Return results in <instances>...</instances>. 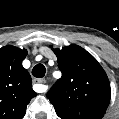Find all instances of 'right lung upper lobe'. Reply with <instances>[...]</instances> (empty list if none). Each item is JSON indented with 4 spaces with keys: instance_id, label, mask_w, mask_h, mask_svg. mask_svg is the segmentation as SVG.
<instances>
[{
    "instance_id": "1",
    "label": "right lung upper lobe",
    "mask_w": 119,
    "mask_h": 119,
    "mask_svg": "<svg viewBox=\"0 0 119 119\" xmlns=\"http://www.w3.org/2000/svg\"><path fill=\"white\" fill-rule=\"evenodd\" d=\"M26 55V49L14 46L0 49V119H22L36 96L31 76L22 66Z\"/></svg>"
}]
</instances>
